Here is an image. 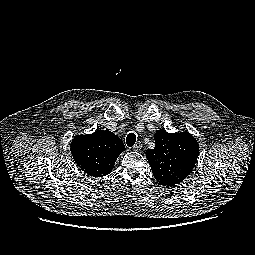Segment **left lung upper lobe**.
<instances>
[{
    "mask_svg": "<svg viewBox=\"0 0 255 255\" xmlns=\"http://www.w3.org/2000/svg\"><path fill=\"white\" fill-rule=\"evenodd\" d=\"M154 149L146 151V158L155 179L166 187L182 182L192 171L199 155V145L188 132L168 133L158 130Z\"/></svg>",
    "mask_w": 255,
    "mask_h": 255,
    "instance_id": "obj_1",
    "label": "left lung upper lobe"
}]
</instances>
